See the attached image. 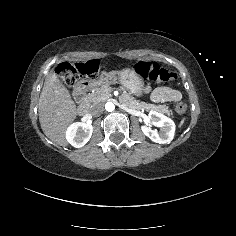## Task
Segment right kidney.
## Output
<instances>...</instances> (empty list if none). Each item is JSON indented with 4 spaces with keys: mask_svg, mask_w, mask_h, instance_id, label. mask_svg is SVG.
<instances>
[{
    "mask_svg": "<svg viewBox=\"0 0 236 236\" xmlns=\"http://www.w3.org/2000/svg\"><path fill=\"white\" fill-rule=\"evenodd\" d=\"M92 132V125L76 122L67 128L66 139L73 147L81 148L90 140Z\"/></svg>",
    "mask_w": 236,
    "mask_h": 236,
    "instance_id": "obj_1",
    "label": "right kidney"
}]
</instances>
